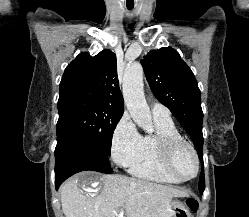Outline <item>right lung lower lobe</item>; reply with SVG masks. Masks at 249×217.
Masks as SVG:
<instances>
[{"mask_svg":"<svg viewBox=\"0 0 249 217\" xmlns=\"http://www.w3.org/2000/svg\"><path fill=\"white\" fill-rule=\"evenodd\" d=\"M84 170L113 172L106 154L99 152L72 131H58L55 149L56 189L68 177Z\"/></svg>","mask_w":249,"mask_h":217,"instance_id":"right-lung-lower-lobe-1","label":"right lung lower lobe"}]
</instances>
